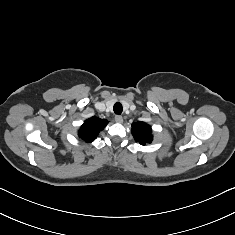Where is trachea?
<instances>
[{
	"instance_id": "3493384b",
	"label": "trachea",
	"mask_w": 235,
	"mask_h": 235,
	"mask_svg": "<svg viewBox=\"0 0 235 235\" xmlns=\"http://www.w3.org/2000/svg\"><path fill=\"white\" fill-rule=\"evenodd\" d=\"M113 110L115 112V114H121L122 111H123V107H122V104L117 102L114 104V107H113Z\"/></svg>"
}]
</instances>
